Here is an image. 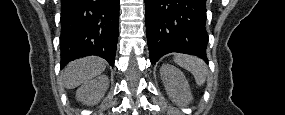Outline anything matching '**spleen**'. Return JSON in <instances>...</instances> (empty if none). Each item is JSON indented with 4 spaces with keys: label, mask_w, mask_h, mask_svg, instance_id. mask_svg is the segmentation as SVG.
Returning a JSON list of instances; mask_svg holds the SVG:
<instances>
[{
    "label": "spleen",
    "mask_w": 285,
    "mask_h": 115,
    "mask_svg": "<svg viewBox=\"0 0 285 115\" xmlns=\"http://www.w3.org/2000/svg\"><path fill=\"white\" fill-rule=\"evenodd\" d=\"M174 62L191 72L198 86H202L207 78L208 68L203 60L195 56L177 54Z\"/></svg>",
    "instance_id": "spleen-1"
}]
</instances>
